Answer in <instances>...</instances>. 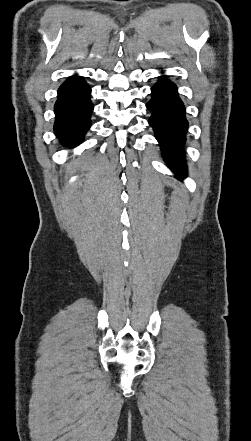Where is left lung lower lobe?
Masks as SVG:
<instances>
[{
	"instance_id": "obj_1",
	"label": "left lung lower lobe",
	"mask_w": 251,
	"mask_h": 441,
	"mask_svg": "<svg viewBox=\"0 0 251 441\" xmlns=\"http://www.w3.org/2000/svg\"><path fill=\"white\" fill-rule=\"evenodd\" d=\"M151 90L152 99L146 104L152 113L149 124L154 129L168 166L179 178H183L187 175L183 147L188 129L184 104L176 85L165 76H161Z\"/></svg>"
}]
</instances>
